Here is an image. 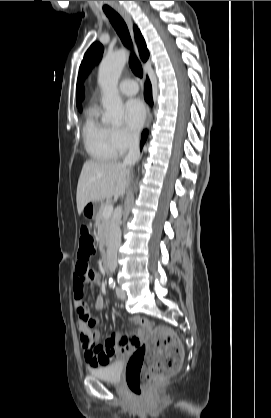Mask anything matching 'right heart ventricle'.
<instances>
[{
	"label": "right heart ventricle",
	"instance_id": "e07e8e85",
	"mask_svg": "<svg viewBox=\"0 0 271 418\" xmlns=\"http://www.w3.org/2000/svg\"><path fill=\"white\" fill-rule=\"evenodd\" d=\"M112 128L102 122L96 108H90L83 126V143L88 155L96 161H110L118 153L112 143Z\"/></svg>",
	"mask_w": 271,
	"mask_h": 418
}]
</instances>
